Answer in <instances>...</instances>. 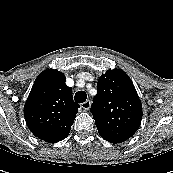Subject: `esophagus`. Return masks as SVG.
<instances>
[{"label":"esophagus","instance_id":"esophagus-1","mask_svg":"<svg viewBox=\"0 0 173 173\" xmlns=\"http://www.w3.org/2000/svg\"><path fill=\"white\" fill-rule=\"evenodd\" d=\"M81 107H82L84 110H89L90 107H91V102H90V100H87V101L83 102V103L81 104Z\"/></svg>","mask_w":173,"mask_h":173}]
</instances>
